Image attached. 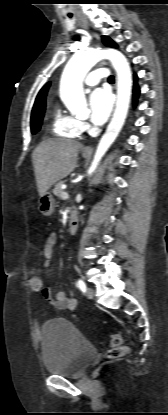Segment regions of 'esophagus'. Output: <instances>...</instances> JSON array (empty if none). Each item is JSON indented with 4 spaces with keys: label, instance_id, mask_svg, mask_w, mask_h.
<instances>
[{
    "label": "esophagus",
    "instance_id": "obj_1",
    "mask_svg": "<svg viewBox=\"0 0 168 415\" xmlns=\"http://www.w3.org/2000/svg\"><path fill=\"white\" fill-rule=\"evenodd\" d=\"M78 21H79V24L83 28L88 29V24H87V22L82 17L78 16ZM84 151H92V148L90 146H87V147L84 148Z\"/></svg>",
    "mask_w": 168,
    "mask_h": 415
}]
</instances>
